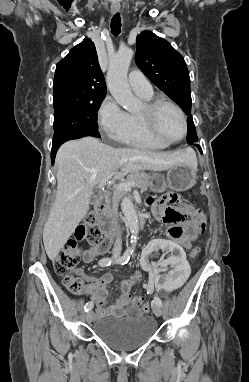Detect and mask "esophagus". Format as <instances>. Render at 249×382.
Returning a JSON list of instances; mask_svg holds the SVG:
<instances>
[{
  "label": "esophagus",
  "instance_id": "obj_1",
  "mask_svg": "<svg viewBox=\"0 0 249 382\" xmlns=\"http://www.w3.org/2000/svg\"><path fill=\"white\" fill-rule=\"evenodd\" d=\"M120 10V5L118 3H114L111 5V11L113 13H117Z\"/></svg>",
  "mask_w": 249,
  "mask_h": 382
}]
</instances>
